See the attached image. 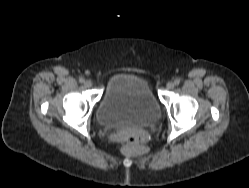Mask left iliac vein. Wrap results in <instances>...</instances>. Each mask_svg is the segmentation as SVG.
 <instances>
[{
    "label": "left iliac vein",
    "instance_id": "obj_1",
    "mask_svg": "<svg viewBox=\"0 0 249 188\" xmlns=\"http://www.w3.org/2000/svg\"><path fill=\"white\" fill-rule=\"evenodd\" d=\"M166 88H167L168 90L173 89V88H174V83H173V82H168L167 85H166Z\"/></svg>",
    "mask_w": 249,
    "mask_h": 188
}]
</instances>
